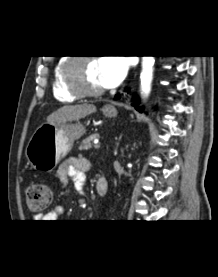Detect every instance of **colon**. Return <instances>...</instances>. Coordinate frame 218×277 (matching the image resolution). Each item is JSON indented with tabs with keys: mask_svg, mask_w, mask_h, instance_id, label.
<instances>
[{
	"mask_svg": "<svg viewBox=\"0 0 218 277\" xmlns=\"http://www.w3.org/2000/svg\"><path fill=\"white\" fill-rule=\"evenodd\" d=\"M52 201V191L44 183H31L26 188V202L30 210L42 213L46 210Z\"/></svg>",
	"mask_w": 218,
	"mask_h": 277,
	"instance_id": "obj_1",
	"label": "colon"
}]
</instances>
